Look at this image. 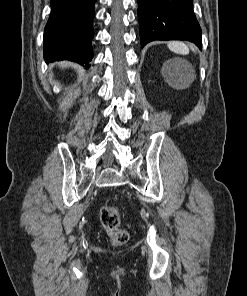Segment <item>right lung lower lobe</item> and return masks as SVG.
I'll return each instance as SVG.
<instances>
[{"label":"right lung lower lobe","mask_w":247,"mask_h":296,"mask_svg":"<svg viewBox=\"0 0 247 296\" xmlns=\"http://www.w3.org/2000/svg\"><path fill=\"white\" fill-rule=\"evenodd\" d=\"M96 0H50L51 14L44 31V59L86 64L92 60V20Z\"/></svg>","instance_id":"1"}]
</instances>
